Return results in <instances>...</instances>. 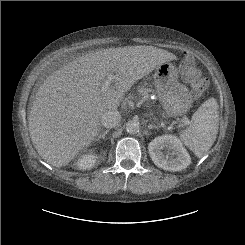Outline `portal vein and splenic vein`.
Segmentation results:
<instances>
[{
	"mask_svg": "<svg viewBox=\"0 0 245 245\" xmlns=\"http://www.w3.org/2000/svg\"><path fill=\"white\" fill-rule=\"evenodd\" d=\"M115 79V76L114 75H109L108 77H107V79L104 81V84H103V86H102V91H106L109 87H110V84H111V82L113 81ZM183 123H184V125H189L190 124V121H189V119L188 118H184L183 119Z\"/></svg>",
	"mask_w": 245,
	"mask_h": 245,
	"instance_id": "obj_1",
	"label": "portal vein and splenic vein"
}]
</instances>
